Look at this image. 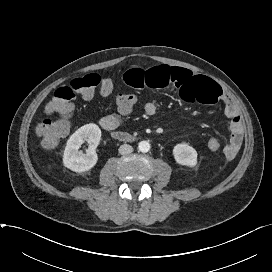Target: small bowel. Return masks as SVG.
<instances>
[{
	"label": "small bowel",
	"mask_w": 272,
	"mask_h": 272,
	"mask_svg": "<svg viewBox=\"0 0 272 272\" xmlns=\"http://www.w3.org/2000/svg\"><path fill=\"white\" fill-rule=\"evenodd\" d=\"M124 81L135 89L174 87L178 89L180 97L190 103L221 104L226 117L230 120L231 131L229 141L223 147V153L228 160L237 156L243 141L244 124L236 105L216 82L187 69L168 65L130 69L124 74ZM143 109L145 114L153 115L157 107L148 101ZM122 115L125 114L119 111L104 115L100 119L101 127L108 131L115 130L120 125Z\"/></svg>",
	"instance_id": "c3829d8e"
}]
</instances>
